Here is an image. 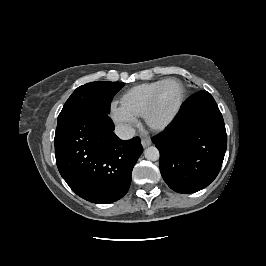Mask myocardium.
<instances>
[{
    "label": "myocardium",
    "instance_id": "f54148a6",
    "mask_svg": "<svg viewBox=\"0 0 266 266\" xmlns=\"http://www.w3.org/2000/svg\"><path fill=\"white\" fill-rule=\"evenodd\" d=\"M170 82H176L180 85L181 87V98H180V101L176 107V109L174 110V112L170 115L169 118H167L164 122L162 123H155L153 120H152V113L156 107V102H157V98L159 96V93L160 91L162 90V88L170 83ZM187 99V89H186V86L184 85V83L179 79V78H176V77H170V78H167L165 79L158 87L157 89L154 91L145 111H144V114H143V118H144V121L145 123L147 124V126L149 128H151L152 130H155V131H162V130H165L166 128H168L175 120L176 118L178 117V115L180 114L184 104H185V101Z\"/></svg>",
    "mask_w": 266,
    "mask_h": 266
}]
</instances>
